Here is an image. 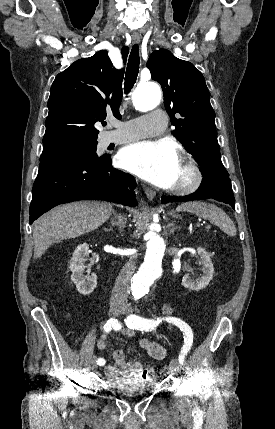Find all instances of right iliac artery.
<instances>
[{"instance_id":"1","label":"right iliac artery","mask_w":275,"mask_h":429,"mask_svg":"<svg viewBox=\"0 0 275 429\" xmlns=\"http://www.w3.org/2000/svg\"><path fill=\"white\" fill-rule=\"evenodd\" d=\"M103 328L104 331L109 332L112 328L118 330L120 328V325L116 319L111 318L105 323ZM97 364L99 366H103L105 364V360L103 358H98Z\"/></svg>"}]
</instances>
